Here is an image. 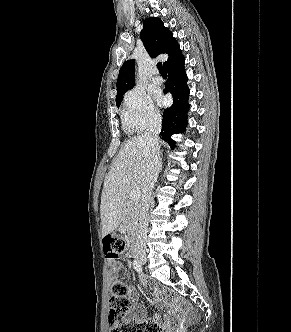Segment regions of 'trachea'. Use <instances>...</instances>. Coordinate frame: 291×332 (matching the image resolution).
Wrapping results in <instances>:
<instances>
[{"label": "trachea", "mask_w": 291, "mask_h": 332, "mask_svg": "<svg viewBox=\"0 0 291 332\" xmlns=\"http://www.w3.org/2000/svg\"><path fill=\"white\" fill-rule=\"evenodd\" d=\"M157 68H158V70H159V72H160L161 75H166V72L163 69L162 63H158L157 64Z\"/></svg>", "instance_id": "trachea-1"}]
</instances>
